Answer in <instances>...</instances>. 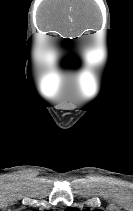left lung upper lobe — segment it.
Wrapping results in <instances>:
<instances>
[{"mask_svg":"<svg viewBox=\"0 0 133 211\" xmlns=\"http://www.w3.org/2000/svg\"><path fill=\"white\" fill-rule=\"evenodd\" d=\"M67 211H80L77 208H69ZM84 211H89V210H84ZM95 211H100V210H95Z\"/></svg>","mask_w":133,"mask_h":211,"instance_id":"left-lung-upper-lobe-1","label":"left lung upper lobe"}]
</instances>
